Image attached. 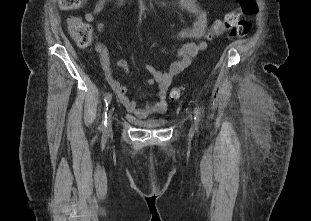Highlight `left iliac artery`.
<instances>
[{
  "label": "left iliac artery",
  "instance_id": "left-iliac-artery-1",
  "mask_svg": "<svg viewBox=\"0 0 311 221\" xmlns=\"http://www.w3.org/2000/svg\"><path fill=\"white\" fill-rule=\"evenodd\" d=\"M194 113H195V121H196V123H199L200 122V116H199V110L197 107L195 108Z\"/></svg>",
  "mask_w": 311,
  "mask_h": 221
}]
</instances>
